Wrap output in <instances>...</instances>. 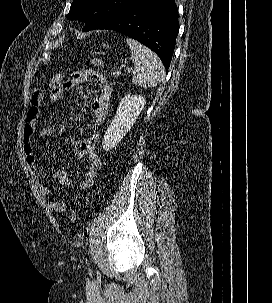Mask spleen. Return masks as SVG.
<instances>
[{"mask_svg": "<svg viewBox=\"0 0 272 303\" xmlns=\"http://www.w3.org/2000/svg\"><path fill=\"white\" fill-rule=\"evenodd\" d=\"M126 42L135 65L132 82L144 88L157 86L165 77V69L158 56L134 39L127 38Z\"/></svg>", "mask_w": 272, "mask_h": 303, "instance_id": "1", "label": "spleen"}]
</instances>
